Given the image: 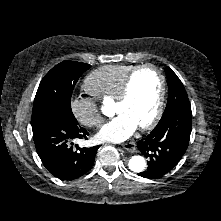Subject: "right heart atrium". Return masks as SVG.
<instances>
[{
	"label": "right heart atrium",
	"instance_id": "d8ad5b80",
	"mask_svg": "<svg viewBox=\"0 0 221 221\" xmlns=\"http://www.w3.org/2000/svg\"><path fill=\"white\" fill-rule=\"evenodd\" d=\"M69 107L74 118L85 127H99L103 122L102 113L91 96L74 95L70 99Z\"/></svg>",
	"mask_w": 221,
	"mask_h": 221
}]
</instances>
